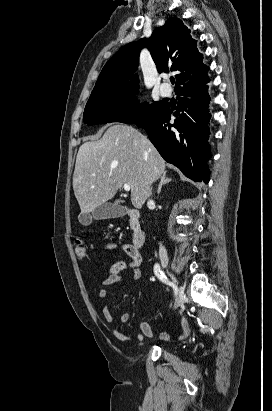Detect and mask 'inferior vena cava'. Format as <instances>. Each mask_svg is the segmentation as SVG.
I'll list each match as a JSON object with an SVG mask.
<instances>
[{"instance_id": "obj_1", "label": "inferior vena cava", "mask_w": 272, "mask_h": 411, "mask_svg": "<svg viewBox=\"0 0 272 411\" xmlns=\"http://www.w3.org/2000/svg\"><path fill=\"white\" fill-rule=\"evenodd\" d=\"M150 195H151V190L149 189L148 196H150ZM151 202H153V201L149 200L148 203H151ZM159 257H160L161 261H163V262L168 261L167 251H166L165 247L162 244H160V246H159Z\"/></svg>"}]
</instances>
